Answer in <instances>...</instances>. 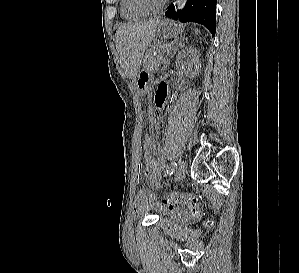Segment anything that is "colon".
Segmentation results:
<instances>
[{
    "instance_id": "colon-1",
    "label": "colon",
    "mask_w": 299,
    "mask_h": 273,
    "mask_svg": "<svg viewBox=\"0 0 299 273\" xmlns=\"http://www.w3.org/2000/svg\"><path fill=\"white\" fill-rule=\"evenodd\" d=\"M153 143V135L147 133L143 139V147L150 146ZM163 205L172 207L177 203H184L189 206L191 213L195 217L200 216V208L198 198L192 194L185 192H171L163 199Z\"/></svg>"
}]
</instances>
